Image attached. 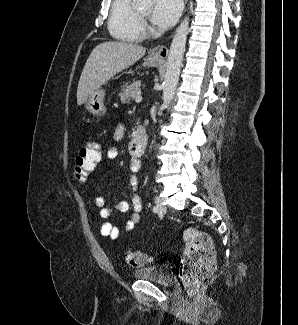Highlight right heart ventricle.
Here are the masks:
<instances>
[{
    "mask_svg": "<svg viewBox=\"0 0 298 325\" xmlns=\"http://www.w3.org/2000/svg\"><path fill=\"white\" fill-rule=\"evenodd\" d=\"M133 0H116L112 3L108 17V32L117 41H141L133 25Z\"/></svg>",
    "mask_w": 298,
    "mask_h": 325,
    "instance_id": "e07e8e85",
    "label": "right heart ventricle"
}]
</instances>
